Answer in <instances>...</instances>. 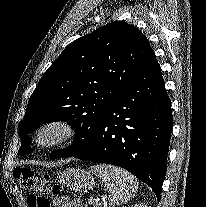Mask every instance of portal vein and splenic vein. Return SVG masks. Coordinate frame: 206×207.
<instances>
[{
    "mask_svg": "<svg viewBox=\"0 0 206 207\" xmlns=\"http://www.w3.org/2000/svg\"><path fill=\"white\" fill-rule=\"evenodd\" d=\"M102 205H104V207H106L107 203L104 201V202L102 203Z\"/></svg>",
    "mask_w": 206,
    "mask_h": 207,
    "instance_id": "obj_1",
    "label": "portal vein and splenic vein"
}]
</instances>
